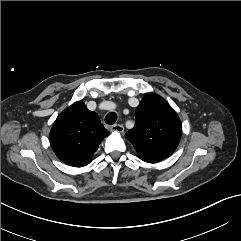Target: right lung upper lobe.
Listing matches in <instances>:
<instances>
[{
	"instance_id": "obj_1",
	"label": "right lung upper lobe",
	"mask_w": 241,
	"mask_h": 241,
	"mask_svg": "<svg viewBox=\"0 0 241 241\" xmlns=\"http://www.w3.org/2000/svg\"><path fill=\"white\" fill-rule=\"evenodd\" d=\"M108 135L97 113L78 101L57 117L50 132V142L61 161L83 167L91 162L92 155Z\"/></svg>"
}]
</instances>
